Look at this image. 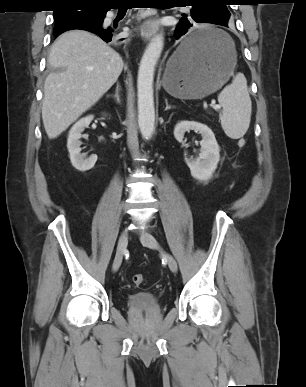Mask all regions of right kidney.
Instances as JSON below:
<instances>
[{"label":"right kidney","mask_w":306,"mask_h":387,"mask_svg":"<svg viewBox=\"0 0 306 387\" xmlns=\"http://www.w3.org/2000/svg\"><path fill=\"white\" fill-rule=\"evenodd\" d=\"M93 118L94 117L92 115H89L80 119L73 125L68 135L67 148L70 154L72 166L81 172H85L93 168L97 161V155L93 154L86 158V153H80V146L82 144L80 141L81 133L90 125Z\"/></svg>","instance_id":"1"}]
</instances>
